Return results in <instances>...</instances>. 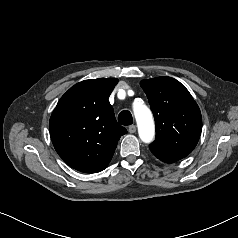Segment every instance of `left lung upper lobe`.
<instances>
[{
    "label": "left lung upper lobe",
    "mask_w": 238,
    "mask_h": 238,
    "mask_svg": "<svg viewBox=\"0 0 238 238\" xmlns=\"http://www.w3.org/2000/svg\"><path fill=\"white\" fill-rule=\"evenodd\" d=\"M156 124L153 154L182 159L190 154L201 135L202 117L189 91L176 79L157 77L140 83Z\"/></svg>",
    "instance_id": "5c2ea615"
}]
</instances>
